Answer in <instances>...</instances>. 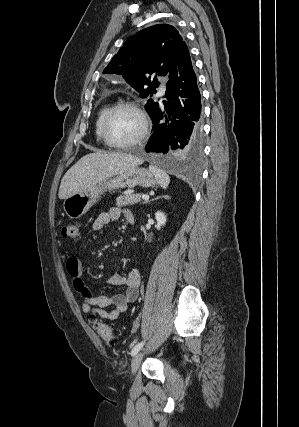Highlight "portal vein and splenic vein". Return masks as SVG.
Segmentation results:
<instances>
[{
  "label": "portal vein and splenic vein",
  "instance_id": "obj_1",
  "mask_svg": "<svg viewBox=\"0 0 299 427\" xmlns=\"http://www.w3.org/2000/svg\"><path fill=\"white\" fill-rule=\"evenodd\" d=\"M142 199H143V200H148V199H149V196H148V195H143V196H142Z\"/></svg>",
  "mask_w": 299,
  "mask_h": 427
}]
</instances>
